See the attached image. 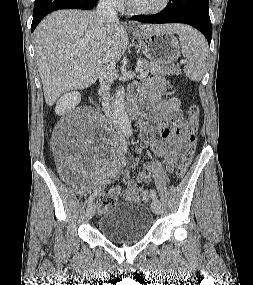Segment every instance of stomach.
Masks as SVG:
<instances>
[{
  "mask_svg": "<svg viewBox=\"0 0 253 285\" xmlns=\"http://www.w3.org/2000/svg\"><path fill=\"white\" fill-rule=\"evenodd\" d=\"M133 35L146 58L152 63L167 66L180 57L178 40L169 31H135Z\"/></svg>",
  "mask_w": 253,
  "mask_h": 285,
  "instance_id": "obj_1",
  "label": "stomach"
}]
</instances>
